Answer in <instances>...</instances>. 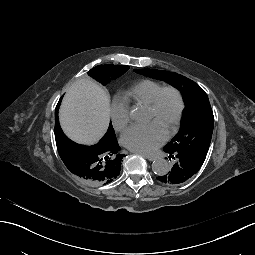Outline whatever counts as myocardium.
<instances>
[{"label":"myocardium","instance_id":"myocardium-1","mask_svg":"<svg viewBox=\"0 0 255 255\" xmlns=\"http://www.w3.org/2000/svg\"><path fill=\"white\" fill-rule=\"evenodd\" d=\"M166 91H172L177 98V111H176L175 118H174V126H173L172 130L170 131V133L166 136L167 139H170L173 136H175L179 130L180 121H181V117H182V113H183V109H184V100H183V96H182V93L180 92V90L173 85L161 86L154 93L153 97L151 98L150 102L148 103V108L151 109L152 111H156L158 108V105H159L160 97Z\"/></svg>","mask_w":255,"mask_h":255}]
</instances>
